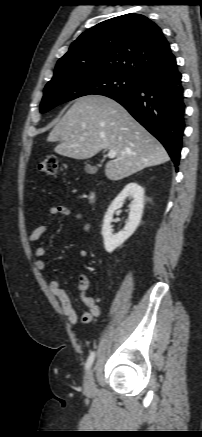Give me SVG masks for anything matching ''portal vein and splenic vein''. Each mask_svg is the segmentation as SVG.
<instances>
[{
    "instance_id": "18ae733b",
    "label": "portal vein and splenic vein",
    "mask_w": 202,
    "mask_h": 437,
    "mask_svg": "<svg viewBox=\"0 0 202 437\" xmlns=\"http://www.w3.org/2000/svg\"><path fill=\"white\" fill-rule=\"evenodd\" d=\"M116 156V152L114 151V150H110L109 152H108V157L109 158H114Z\"/></svg>"
}]
</instances>
